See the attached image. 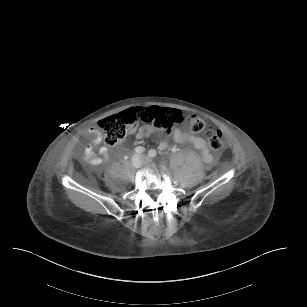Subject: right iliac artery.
Segmentation results:
<instances>
[{
    "label": "right iliac artery",
    "mask_w": 307,
    "mask_h": 307,
    "mask_svg": "<svg viewBox=\"0 0 307 307\" xmlns=\"http://www.w3.org/2000/svg\"><path fill=\"white\" fill-rule=\"evenodd\" d=\"M144 151H145V149L143 147H141V146L135 148V152L138 153V154H141Z\"/></svg>",
    "instance_id": "right-iliac-artery-1"
}]
</instances>
